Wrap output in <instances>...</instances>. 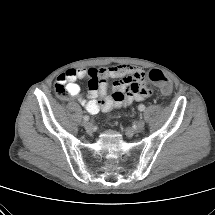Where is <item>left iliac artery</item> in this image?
<instances>
[{"instance_id": "left-iliac-artery-1", "label": "left iliac artery", "mask_w": 215, "mask_h": 215, "mask_svg": "<svg viewBox=\"0 0 215 215\" xmlns=\"http://www.w3.org/2000/svg\"><path fill=\"white\" fill-rule=\"evenodd\" d=\"M138 109H139L140 111H144V110H145V106H144L143 104H140V105L138 106Z\"/></svg>"}]
</instances>
